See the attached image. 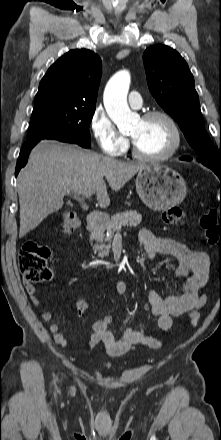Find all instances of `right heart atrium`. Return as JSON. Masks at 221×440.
Here are the masks:
<instances>
[{"instance_id":"d8ad5b80","label":"right heart atrium","mask_w":221,"mask_h":440,"mask_svg":"<svg viewBox=\"0 0 221 440\" xmlns=\"http://www.w3.org/2000/svg\"><path fill=\"white\" fill-rule=\"evenodd\" d=\"M90 130L103 153L109 156H120L126 151L127 138L120 133L103 108L97 107L92 113Z\"/></svg>"}]
</instances>
